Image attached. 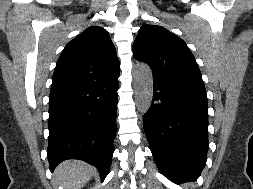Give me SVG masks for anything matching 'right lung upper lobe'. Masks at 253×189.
<instances>
[{"mask_svg": "<svg viewBox=\"0 0 253 189\" xmlns=\"http://www.w3.org/2000/svg\"><path fill=\"white\" fill-rule=\"evenodd\" d=\"M119 73V60L108 32L92 26L66 45L57 61L51 87L94 84Z\"/></svg>", "mask_w": 253, "mask_h": 189, "instance_id": "obj_1", "label": "right lung upper lobe"}]
</instances>
